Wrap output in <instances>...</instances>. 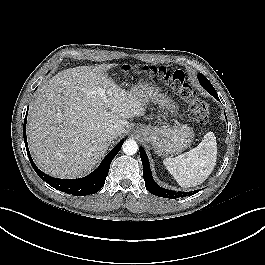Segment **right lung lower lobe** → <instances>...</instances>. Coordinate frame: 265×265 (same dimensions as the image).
<instances>
[{
	"mask_svg": "<svg viewBox=\"0 0 265 265\" xmlns=\"http://www.w3.org/2000/svg\"><path fill=\"white\" fill-rule=\"evenodd\" d=\"M26 121H27V113H26V117L24 120V129H23L25 146H26V150H27L30 163L33 169L36 171V173L39 175L41 179L46 180V182L53 188H56L59 191L66 192V193H69L75 196H84V195L94 194L98 192L104 186L105 179L109 172L111 161L120 151L123 141L118 143L112 149V151H110L107 154V156L103 159L99 167L95 171H93L91 174H89L88 176L79 178V179L52 178V177L47 176L41 170H39L31 158V155L28 149V144H27V137H26Z\"/></svg>",
	"mask_w": 265,
	"mask_h": 265,
	"instance_id": "right-lung-lower-lobe-1",
	"label": "right lung lower lobe"
}]
</instances>
